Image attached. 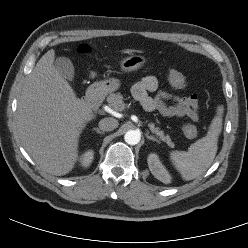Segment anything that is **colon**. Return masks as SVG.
I'll list each match as a JSON object with an SVG mask.
<instances>
[{"instance_id":"5ec220e1","label":"colon","mask_w":248,"mask_h":248,"mask_svg":"<svg viewBox=\"0 0 248 248\" xmlns=\"http://www.w3.org/2000/svg\"><path fill=\"white\" fill-rule=\"evenodd\" d=\"M87 47H83L82 51L86 52ZM166 80L174 88L181 89L186 86L185 76L176 69H167L166 71ZM183 132L185 136L189 139H194L198 135L196 127L192 123H186L183 126Z\"/></svg>"}]
</instances>
